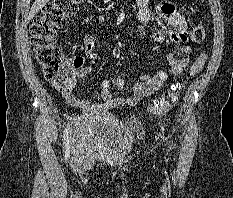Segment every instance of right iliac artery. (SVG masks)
I'll use <instances>...</instances> for the list:
<instances>
[{"label": "right iliac artery", "mask_w": 233, "mask_h": 198, "mask_svg": "<svg viewBox=\"0 0 233 198\" xmlns=\"http://www.w3.org/2000/svg\"><path fill=\"white\" fill-rule=\"evenodd\" d=\"M63 140L67 148L66 155H68V141H69V128L68 127L64 130Z\"/></svg>", "instance_id": "right-iliac-artery-1"}]
</instances>
